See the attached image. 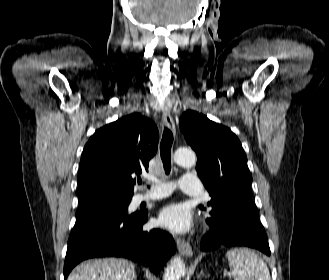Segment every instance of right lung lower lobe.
Returning <instances> with one entry per match:
<instances>
[{
	"label": "right lung lower lobe",
	"instance_id": "right-lung-lower-lobe-1",
	"mask_svg": "<svg viewBox=\"0 0 329 280\" xmlns=\"http://www.w3.org/2000/svg\"><path fill=\"white\" fill-rule=\"evenodd\" d=\"M147 218L145 212L128 215L127 209L112 206L78 217L68 240L64 280L79 262L94 257H124L160 271L175 253V243L166 232L143 231Z\"/></svg>",
	"mask_w": 329,
	"mask_h": 280
}]
</instances>
